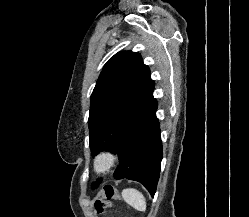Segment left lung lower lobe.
I'll use <instances>...</instances> for the list:
<instances>
[{
    "mask_svg": "<svg viewBox=\"0 0 249 217\" xmlns=\"http://www.w3.org/2000/svg\"><path fill=\"white\" fill-rule=\"evenodd\" d=\"M153 90L128 114L119 129L117 151L120 165L115 179L135 180L154 196L162 160L160 127L155 115ZM100 183V180L98 181Z\"/></svg>",
    "mask_w": 249,
    "mask_h": 217,
    "instance_id": "0a47b994",
    "label": "left lung lower lobe"
}]
</instances>
